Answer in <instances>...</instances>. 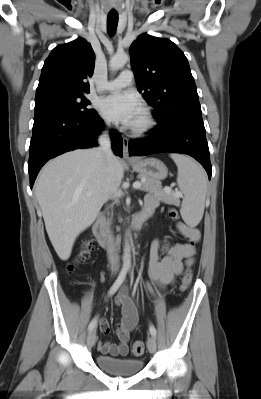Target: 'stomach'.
<instances>
[{
    "label": "stomach",
    "mask_w": 261,
    "mask_h": 399,
    "mask_svg": "<svg viewBox=\"0 0 261 399\" xmlns=\"http://www.w3.org/2000/svg\"><path fill=\"white\" fill-rule=\"evenodd\" d=\"M131 166L140 175L155 180L165 179L168 173L166 165L156 158L136 159L131 161Z\"/></svg>",
    "instance_id": "0dacf381"
}]
</instances>
